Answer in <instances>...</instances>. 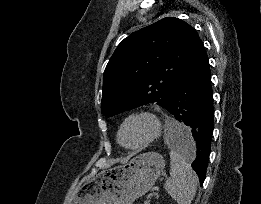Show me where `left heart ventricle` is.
<instances>
[{
    "label": "left heart ventricle",
    "mask_w": 261,
    "mask_h": 204,
    "mask_svg": "<svg viewBox=\"0 0 261 204\" xmlns=\"http://www.w3.org/2000/svg\"><path fill=\"white\" fill-rule=\"evenodd\" d=\"M151 131L150 123L145 119H135L124 127L121 138L126 145H134L144 140Z\"/></svg>",
    "instance_id": "obj_1"
}]
</instances>
